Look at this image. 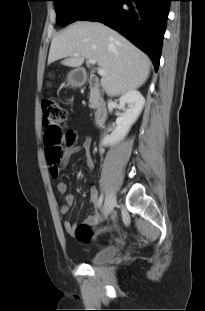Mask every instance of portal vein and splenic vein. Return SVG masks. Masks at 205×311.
Listing matches in <instances>:
<instances>
[{
	"label": "portal vein and splenic vein",
	"mask_w": 205,
	"mask_h": 311,
	"mask_svg": "<svg viewBox=\"0 0 205 311\" xmlns=\"http://www.w3.org/2000/svg\"><path fill=\"white\" fill-rule=\"evenodd\" d=\"M73 56H78V54L74 53ZM88 62L92 65H94L96 63V61L94 59H89ZM98 74L101 76H104L105 75L104 69L98 68Z\"/></svg>",
	"instance_id": "18ae733b"
}]
</instances>
